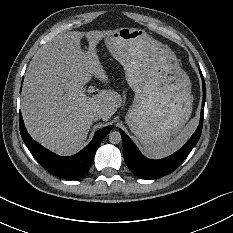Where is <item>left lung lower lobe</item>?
<instances>
[{"mask_svg":"<svg viewBox=\"0 0 233 233\" xmlns=\"http://www.w3.org/2000/svg\"><path fill=\"white\" fill-rule=\"evenodd\" d=\"M200 74L203 85L202 107L204 108L206 87L201 70ZM203 117L204 109L201 110L199 126L188 142L174 154L159 160H151L144 157L126 133L120 130L123 142V156L129 169L136 176L143 179L162 177L175 170L198 142L202 132Z\"/></svg>","mask_w":233,"mask_h":233,"instance_id":"1","label":"left lung lower lobe"}]
</instances>
